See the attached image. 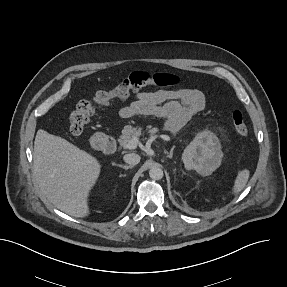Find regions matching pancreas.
Listing matches in <instances>:
<instances>
[{
	"mask_svg": "<svg viewBox=\"0 0 287 287\" xmlns=\"http://www.w3.org/2000/svg\"><path fill=\"white\" fill-rule=\"evenodd\" d=\"M143 128L140 126H136L133 127L131 125H127L124 127V129L122 130V135L119 139V143L122 147H126V144L133 138V137H140L141 135H143ZM156 132H158V128L157 127H153L151 129L148 130V133L150 135H154Z\"/></svg>",
	"mask_w": 287,
	"mask_h": 287,
	"instance_id": "cf45deb5",
	"label": "pancreas"
}]
</instances>
